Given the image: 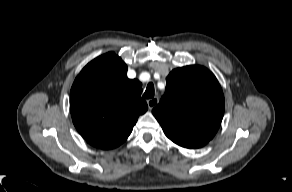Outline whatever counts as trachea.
I'll return each mask as SVG.
<instances>
[{"label":"trachea","mask_w":292,"mask_h":192,"mask_svg":"<svg viewBox=\"0 0 292 192\" xmlns=\"http://www.w3.org/2000/svg\"><path fill=\"white\" fill-rule=\"evenodd\" d=\"M143 97L146 99H150L154 97V85L152 83H149L147 85L146 91L143 94Z\"/></svg>","instance_id":"3493384b"}]
</instances>
